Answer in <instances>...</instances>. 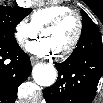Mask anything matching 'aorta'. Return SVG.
Masks as SVG:
<instances>
[{
  "label": "aorta",
  "instance_id": "obj_1",
  "mask_svg": "<svg viewBox=\"0 0 103 103\" xmlns=\"http://www.w3.org/2000/svg\"><path fill=\"white\" fill-rule=\"evenodd\" d=\"M35 82L44 87L54 84L57 77V71L52 64H37L32 70Z\"/></svg>",
  "mask_w": 103,
  "mask_h": 103
}]
</instances>
